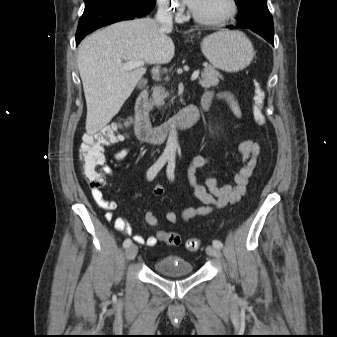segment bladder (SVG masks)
Listing matches in <instances>:
<instances>
[{
  "label": "bladder",
  "instance_id": "1",
  "mask_svg": "<svg viewBox=\"0 0 337 337\" xmlns=\"http://www.w3.org/2000/svg\"><path fill=\"white\" fill-rule=\"evenodd\" d=\"M155 271L163 276L178 277L190 275L194 272L192 264L177 255L164 256L154 264Z\"/></svg>",
  "mask_w": 337,
  "mask_h": 337
}]
</instances>
